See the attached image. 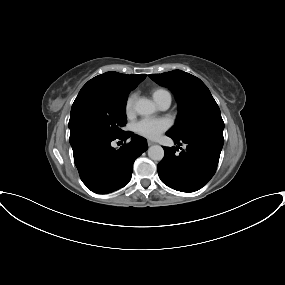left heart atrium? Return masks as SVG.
Returning <instances> with one entry per match:
<instances>
[{"instance_id": "1", "label": "left heart atrium", "mask_w": 285, "mask_h": 285, "mask_svg": "<svg viewBox=\"0 0 285 285\" xmlns=\"http://www.w3.org/2000/svg\"><path fill=\"white\" fill-rule=\"evenodd\" d=\"M170 126L167 119L144 118L137 122L134 130L137 134L148 138L156 139Z\"/></svg>"}]
</instances>
